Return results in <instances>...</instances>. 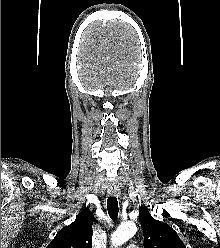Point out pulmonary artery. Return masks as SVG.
<instances>
[{
	"mask_svg": "<svg viewBox=\"0 0 220 248\" xmlns=\"http://www.w3.org/2000/svg\"><path fill=\"white\" fill-rule=\"evenodd\" d=\"M127 248H139V247L137 245L132 244V245H129Z\"/></svg>",
	"mask_w": 220,
	"mask_h": 248,
	"instance_id": "1",
	"label": "pulmonary artery"
}]
</instances>
